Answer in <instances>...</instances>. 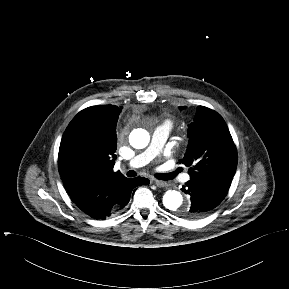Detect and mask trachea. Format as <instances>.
Segmentation results:
<instances>
[{"label":"trachea","instance_id":"trachea-1","mask_svg":"<svg viewBox=\"0 0 289 289\" xmlns=\"http://www.w3.org/2000/svg\"><path fill=\"white\" fill-rule=\"evenodd\" d=\"M179 172V170H177L176 172L173 173H161V174H157V178L160 180H171L173 179L176 174ZM127 176L128 177H135L136 176V172L133 170H130L127 172Z\"/></svg>","mask_w":289,"mask_h":289}]
</instances>
